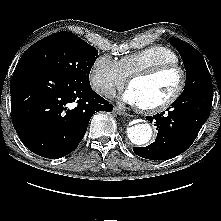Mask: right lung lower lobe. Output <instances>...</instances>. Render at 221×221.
<instances>
[{"mask_svg": "<svg viewBox=\"0 0 221 221\" xmlns=\"http://www.w3.org/2000/svg\"><path fill=\"white\" fill-rule=\"evenodd\" d=\"M14 128L33 153L58 159L85 135L91 116L113 105L90 85L71 81L31 61H19L10 83Z\"/></svg>", "mask_w": 221, "mask_h": 221, "instance_id": "right-lung-lower-lobe-1", "label": "right lung lower lobe"}]
</instances>
